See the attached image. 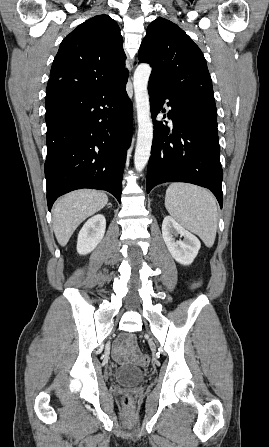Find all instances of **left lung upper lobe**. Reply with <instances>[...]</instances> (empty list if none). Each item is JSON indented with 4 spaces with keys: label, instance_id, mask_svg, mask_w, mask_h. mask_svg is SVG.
Here are the masks:
<instances>
[{
    "label": "left lung upper lobe",
    "instance_id": "left-lung-upper-lobe-1",
    "mask_svg": "<svg viewBox=\"0 0 269 447\" xmlns=\"http://www.w3.org/2000/svg\"><path fill=\"white\" fill-rule=\"evenodd\" d=\"M138 58L152 66L149 84L180 99L197 116L217 120L206 60L181 28L164 18L154 20L147 28Z\"/></svg>",
    "mask_w": 269,
    "mask_h": 447
}]
</instances>
